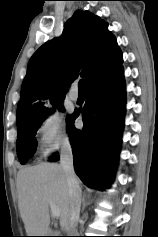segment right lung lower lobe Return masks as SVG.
I'll list each match as a JSON object with an SVG mask.
<instances>
[{
  "mask_svg": "<svg viewBox=\"0 0 158 237\" xmlns=\"http://www.w3.org/2000/svg\"><path fill=\"white\" fill-rule=\"evenodd\" d=\"M125 100L123 67L119 65L87 86L82 110L84 127L80 130L73 125L79 113L68 117L74 169L91 188L103 190L112 181L121 144Z\"/></svg>",
  "mask_w": 158,
  "mask_h": 237,
  "instance_id": "1",
  "label": "right lung lower lobe"
}]
</instances>
